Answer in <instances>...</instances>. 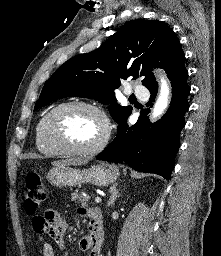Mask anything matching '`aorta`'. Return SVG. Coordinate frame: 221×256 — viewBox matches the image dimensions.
Returning a JSON list of instances; mask_svg holds the SVG:
<instances>
[{"mask_svg": "<svg viewBox=\"0 0 221 256\" xmlns=\"http://www.w3.org/2000/svg\"><path fill=\"white\" fill-rule=\"evenodd\" d=\"M170 88L165 77L160 79V94L152 111V119L160 117L169 104Z\"/></svg>", "mask_w": 221, "mask_h": 256, "instance_id": "aorta-1", "label": "aorta"}]
</instances>
